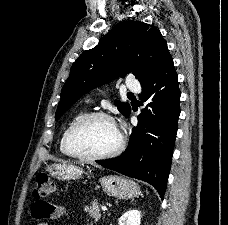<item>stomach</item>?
<instances>
[{"label": "stomach", "mask_w": 228, "mask_h": 225, "mask_svg": "<svg viewBox=\"0 0 228 225\" xmlns=\"http://www.w3.org/2000/svg\"><path fill=\"white\" fill-rule=\"evenodd\" d=\"M47 173L54 179H81L85 175L82 167H75V165H65V163H53V165H47ZM99 183H101L102 189L110 195V197H116V199H133L140 195V189L134 181L124 179V177H117V175H110V177H102Z\"/></svg>", "instance_id": "obj_1"}]
</instances>
